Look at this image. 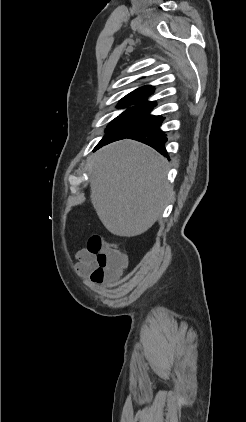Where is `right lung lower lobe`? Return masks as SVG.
<instances>
[{
    "instance_id": "obj_1",
    "label": "right lung lower lobe",
    "mask_w": 246,
    "mask_h": 422,
    "mask_svg": "<svg viewBox=\"0 0 246 422\" xmlns=\"http://www.w3.org/2000/svg\"><path fill=\"white\" fill-rule=\"evenodd\" d=\"M163 120H164V117H161L153 124L139 130L138 132L132 134L131 136L127 138L143 142L153 147L159 153L163 155H167V152L165 149V142L167 141V138L165 137L164 133L160 129V125Z\"/></svg>"
}]
</instances>
